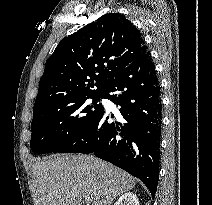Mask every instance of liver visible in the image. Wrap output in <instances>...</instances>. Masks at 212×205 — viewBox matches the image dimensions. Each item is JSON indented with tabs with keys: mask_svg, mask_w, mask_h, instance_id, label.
Returning a JSON list of instances; mask_svg holds the SVG:
<instances>
[{
	"mask_svg": "<svg viewBox=\"0 0 212 205\" xmlns=\"http://www.w3.org/2000/svg\"><path fill=\"white\" fill-rule=\"evenodd\" d=\"M37 205H111L132 190L135 178L92 155H54L32 167Z\"/></svg>",
	"mask_w": 212,
	"mask_h": 205,
	"instance_id": "liver-1",
	"label": "liver"
}]
</instances>
